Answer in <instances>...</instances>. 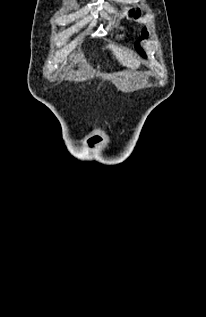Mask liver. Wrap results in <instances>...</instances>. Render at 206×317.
<instances>
[{"instance_id": "1", "label": "liver", "mask_w": 206, "mask_h": 317, "mask_svg": "<svg viewBox=\"0 0 206 317\" xmlns=\"http://www.w3.org/2000/svg\"><path fill=\"white\" fill-rule=\"evenodd\" d=\"M106 49L111 50L113 55L115 56V58L123 66H127L133 70L137 69L140 66L139 60H137L133 55H131L130 53H128L124 49H122L116 45H113V44L107 45Z\"/></svg>"}]
</instances>
